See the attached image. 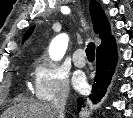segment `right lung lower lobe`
Returning a JSON list of instances; mask_svg holds the SVG:
<instances>
[{
	"label": "right lung lower lobe",
	"mask_w": 133,
	"mask_h": 118,
	"mask_svg": "<svg viewBox=\"0 0 133 118\" xmlns=\"http://www.w3.org/2000/svg\"><path fill=\"white\" fill-rule=\"evenodd\" d=\"M96 59L95 83L92 87V94L90 95V99L93 102H98L106 93L115 70L118 56L114 39L103 47L97 49ZM83 102L82 98L77 100L78 111H80Z\"/></svg>",
	"instance_id": "98d812e1"
}]
</instances>
